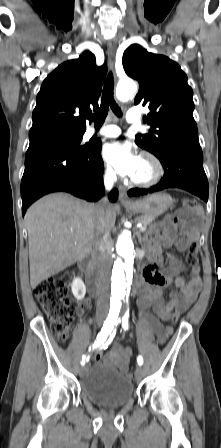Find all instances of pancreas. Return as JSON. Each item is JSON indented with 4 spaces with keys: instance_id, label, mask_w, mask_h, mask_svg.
I'll list each match as a JSON object with an SVG mask.
<instances>
[{
    "instance_id": "cf45deb5",
    "label": "pancreas",
    "mask_w": 221,
    "mask_h": 448,
    "mask_svg": "<svg viewBox=\"0 0 221 448\" xmlns=\"http://www.w3.org/2000/svg\"><path fill=\"white\" fill-rule=\"evenodd\" d=\"M154 219H155L154 216H141V217L136 218V221L147 227L152 224Z\"/></svg>"
}]
</instances>
